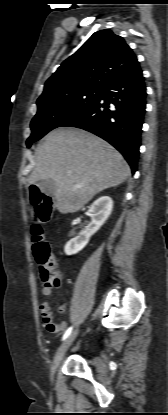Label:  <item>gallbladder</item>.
<instances>
[{
  "label": "gallbladder",
  "mask_w": 168,
  "mask_h": 415,
  "mask_svg": "<svg viewBox=\"0 0 168 415\" xmlns=\"http://www.w3.org/2000/svg\"><path fill=\"white\" fill-rule=\"evenodd\" d=\"M37 185L46 195H53L56 190V182L51 178L40 180Z\"/></svg>",
  "instance_id": "gallbladder-1"
}]
</instances>
